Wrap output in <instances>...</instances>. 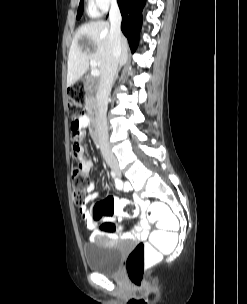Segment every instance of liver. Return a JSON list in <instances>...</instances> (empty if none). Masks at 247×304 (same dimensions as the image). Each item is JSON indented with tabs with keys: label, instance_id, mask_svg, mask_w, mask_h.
<instances>
[{
	"label": "liver",
	"instance_id": "1",
	"mask_svg": "<svg viewBox=\"0 0 247 304\" xmlns=\"http://www.w3.org/2000/svg\"><path fill=\"white\" fill-rule=\"evenodd\" d=\"M110 24L105 21H95L82 25L76 32L68 56L67 86L70 87L89 69L91 60L97 62L100 74L106 65L109 43ZM128 43L121 36V55L119 64L126 63Z\"/></svg>",
	"mask_w": 247,
	"mask_h": 304
}]
</instances>
